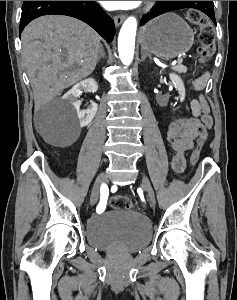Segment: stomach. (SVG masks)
<instances>
[{
	"label": "stomach",
	"mask_w": 237,
	"mask_h": 300,
	"mask_svg": "<svg viewBox=\"0 0 237 300\" xmlns=\"http://www.w3.org/2000/svg\"><path fill=\"white\" fill-rule=\"evenodd\" d=\"M193 43V29H190L189 25L175 13L156 17L140 31L142 49L164 59L185 55Z\"/></svg>",
	"instance_id": "stomach-1"
}]
</instances>
